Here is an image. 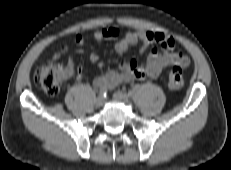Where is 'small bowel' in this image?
Returning a JSON list of instances; mask_svg holds the SVG:
<instances>
[{
	"instance_id": "1",
	"label": "small bowel",
	"mask_w": 231,
	"mask_h": 170,
	"mask_svg": "<svg viewBox=\"0 0 231 170\" xmlns=\"http://www.w3.org/2000/svg\"><path fill=\"white\" fill-rule=\"evenodd\" d=\"M120 30L116 27L103 28L94 32L93 39L95 41L114 39L119 36ZM75 43L78 46L74 52L69 55L67 65L65 66L68 79L75 73V58L83 53L84 38L82 35L75 36ZM141 44V51H145L150 46H157L149 53L145 64L140 65L134 59L127 58L120 63L116 69H112L103 75L96 77L93 81L95 87H104L112 89L121 83L132 82L145 78H157L169 66L176 65L179 67H187L189 59L182 53L175 50V40L159 32L138 31L126 32L123 37L116 43L115 50L118 55H123L128 50ZM60 58V54L56 53L53 60ZM89 60L93 63L99 60L96 53L89 54Z\"/></svg>"
}]
</instances>
